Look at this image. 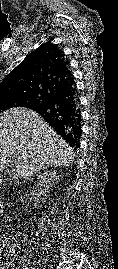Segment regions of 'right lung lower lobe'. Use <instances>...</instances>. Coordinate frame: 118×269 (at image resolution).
I'll return each instance as SVG.
<instances>
[{"label":"right lung lower lobe","instance_id":"1","mask_svg":"<svg viewBox=\"0 0 118 269\" xmlns=\"http://www.w3.org/2000/svg\"><path fill=\"white\" fill-rule=\"evenodd\" d=\"M30 109L39 113L71 147L79 148L81 114L75 83Z\"/></svg>","mask_w":118,"mask_h":269}]
</instances>
